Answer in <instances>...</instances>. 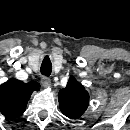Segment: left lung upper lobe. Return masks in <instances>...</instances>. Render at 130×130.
<instances>
[{
    "label": "left lung upper lobe",
    "mask_w": 130,
    "mask_h": 130,
    "mask_svg": "<svg viewBox=\"0 0 130 130\" xmlns=\"http://www.w3.org/2000/svg\"><path fill=\"white\" fill-rule=\"evenodd\" d=\"M58 97L61 112L70 119H78L88 107V92L74 76H70L67 86L59 91Z\"/></svg>",
    "instance_id": "obj_1"
}]
</instances>
